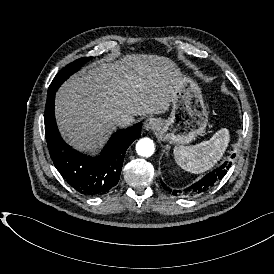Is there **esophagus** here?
Returning <instances> with one entry per match:
<instances>
[{"label":"esophagus","mask_w":274,"mask_h":274,"mask_svg":"<svg viewBox=\"0 0 274 274\" xmlns=\"http://www.w3.org/2000/svg\"><path fill=\"white\" fill-rule=\"evenodd\" d=\"M159 125V122L154 119V118H148L145 122H144V129L147 131H152L155 130Z\"/></svg>","instance_id":"esophagus-1"}]
</instances>
